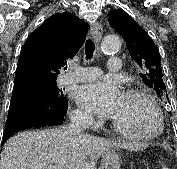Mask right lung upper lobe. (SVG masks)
Masks as SVG:
<instances>
[{"label": "right lung upper lobe", "instance_id": "right-lung-upper-lobe-1", "mask_svg": "<svg viewBox=\"0 0 177 169\" xmlns=\"http://www.w3.org/2000/svg\"><path fill=\"white\" fill-rule=\"evenodd\" d=\"M86 33L87 24L75 15L53 14L26 40L15 77L56 82L60 68L76 55Z\"/></svg>", "mask_w": 177, "mask_h": 169}]
</instances>
